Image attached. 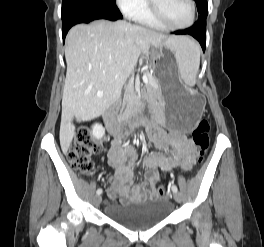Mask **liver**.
Instances as JSON below:
<instances>
[{
    "label": "liver",
    "mask_w": 264,
    "mask_h": 247,
    "mask_svg": "<svg viewBox=\"0 0 264 247\" xmlns=\"http://www.w3.org/2000/svg\"><path fill=\"white\" fill-rule=\"evenodd\" d=\"M179 37H166L125 21H94L70 29L66 37L67 72L62 97L60 145L67 153L75 126L102 115L120 96L141 54L149 59L151 46L160 48ZM103 97H97V93Z\"/></svg>",
    "instance_id": "6515ba94"
}]
</instances>
